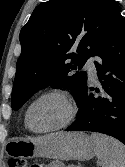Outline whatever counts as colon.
Listing matches in <instances>:
<instances>
[{
	"mask_svg": "<svg viewBox=\"0 0 125 167\" xmlns=\"http://www.w3.org/2000/svg\"><path fill=\"white\" fill-rule=\"evenodd\" d=\"M8 167H40L38 164L28 166L27 162L19 157H12L8 161Z\"/></svg>",
	"mask_w": 125,
	"mask_h": 167,
	"instance_id": "5ec220e1",
	"label": "colon"
}]
</instances>
